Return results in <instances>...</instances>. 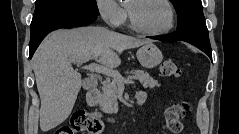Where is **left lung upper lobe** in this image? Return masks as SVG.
Here are the masks:
<instances>
[{
	"label": "left lung upper lobe",
	"mask_w": 239,
	"mask_h": 134,
	"mask_svg": "<svg viewBox=\"0 0 239 134\" xmlns=\"http://www.w3.org/2000/svg\"><path fill=\"white\" fill-rule=\"evenodd\" d=\"M177 15V32L187 29L207 30L201 0H171Z\"/></svg>",
	"instance_id": "1"
}]
</instances>
